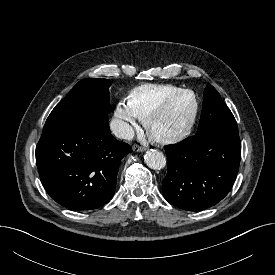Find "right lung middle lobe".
<instances>
[{"label": "right lung middle lobe", "mask_w": 275, "mask_h": 275, "mask_svg": "<svg viewBox=\"0 0 275 275\" xmlns=\"http://www.w3.org/2000/svg\"><path fill=\"white\" fill-rule=\"evenodd\" d=\"M108 79L86 78L79 81L52 110L44 130L89 124L110 112Z\"/></svg>", "instance_id": "right-lung-middle-lobe-1"}]
</instances>
